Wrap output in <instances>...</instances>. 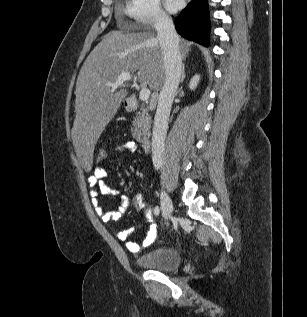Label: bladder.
<instances>
[{"label": "bladder", "mask_w": 307, "mask_h": 317, "mask_svg": "<svg viewBox=\"0 0 307 317\" xmlns=\"http://www.w3.org/2000/svg\"><path fill=\"white\" fill-rule=\"evenodd\" d=\"M137 265L149 270H172L181 265V256L174 247L154 249L135 259Z\"/></svg>", "instance_id": "obj_1"}]
</instances>
